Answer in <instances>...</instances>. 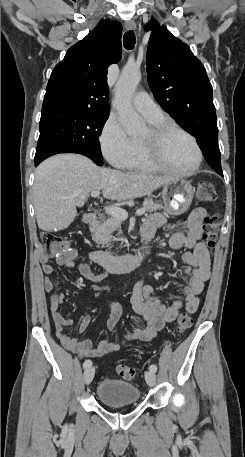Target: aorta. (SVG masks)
Here are the masks:
<instances>
[{
    "label": "aorta",
    "mask_w": 245,
    "mask_h": 457,
    "mask_svg": "<svg viewBox=\"0 0 245 457\" xmlns=\"http://www.w3.org/2000/svg\"><path fill=\"white\" fill-rule=\"evenodd\" d=\"M141 80L138 68L126 66L115 85L113 106L117 110L119 120L131 135L144 132L146 126L132 106V97Z\"/></svg>",
    "instance_id": "aorta-1"
}]
</instances>
